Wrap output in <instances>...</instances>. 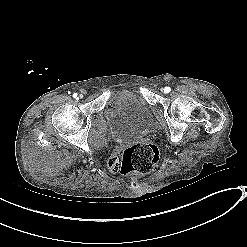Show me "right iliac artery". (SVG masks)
<instances>
[{"label":"right iliac artery","instance_id":"right-iliac-artery-1","mask_svg":"<svg viewBox=\"0 0 247 247\" xmlns=\"http://www.w3.org/2000/svg\"><path fill=\"white\" fill-rule=\"evenodd\" d=\"M77 96H78L77 93H74V94H73V97H74V98H77Z\"/></svg>","mask_w":247,"mask_h":247}]
</instances>
